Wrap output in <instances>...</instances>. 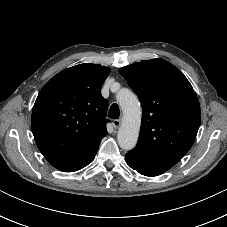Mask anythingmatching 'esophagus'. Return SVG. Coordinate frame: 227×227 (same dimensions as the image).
<instances>
[{
  "instance_id": "esophagus-1",
  "label": "esophagus",
  "mask_w": 227,
  "mask_h": 227,
  "mask_svg": "<svg viewBox=\"0 0 227 227\" xmlns=\"http://www.w3.org/2000/svg\"><path fill=\"white\" fill-rule=\"evenodd\" d=\"M121 119H116V120H114L113 121V126H114V128H119L120 127V125H121Z\"/></svg>"
}]
</instances>
